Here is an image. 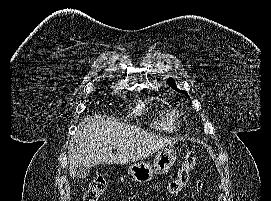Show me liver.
Listing matches in <instances>:
<instances>
[{"instance_id":"liver-1","label":"liver","mask_w":271,"mask_h":201,"mask_svg":"<svg viewBox=\"0 0 271 201\" xmlns=\"http://www.w3.org/2000/svg\"><path fill=\"white\" fill-rule=\"evenodd\" d=\"M174 143L115 118L94 115L78 125L74 145L69 152V174L75 176L78 167L137 162ZM113 148L117 149L115 155Z\"/></svg>"}]
</instances>
